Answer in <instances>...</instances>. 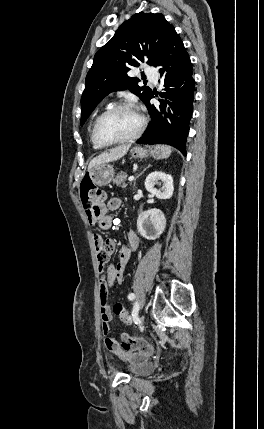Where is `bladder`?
Segmentation results:
<instances>
[{
  "label": "bladder",
  "instance_id": "bladder-1",
  "mask_svg": "<svg viewBox=\"0 0 264 429\" xmlns=\"http://www.w3.org/2000/svg\"><path fill=\"white\" fill-rule=\"evenodd\" d=\"M155 368L156 367L153 362L149 360H141L132 364L128 369V373L131 376L143 377L152 374L155 371Z\"/></svg>",
  "mask_w": 264,
  "mask_h": 429
}]
</instances>
